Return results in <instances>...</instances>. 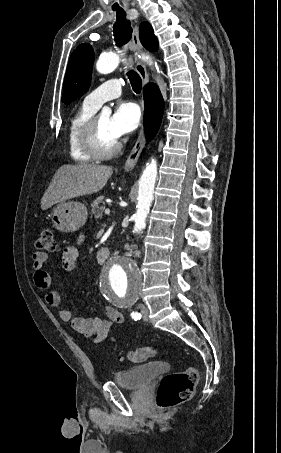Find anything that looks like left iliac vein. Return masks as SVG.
Here are the masks:
<instances>
[{
    "instance_id": "obj_1",
    "label": "left iliac vein",
    "mask_w": 281,
    "mask_h": 453,
    "mask_svg": "<svg viewBox=\"0 0 281 453\" xmlns=\"http://www.w3.org/2000/svg\"><path fill=\"white\" fill-rule=\"evenodd\" d=\"M147 309H148L147 307H141V315H142V318L144 320L149 319L148 310Z\"/></svg>"
}]
</instances>
